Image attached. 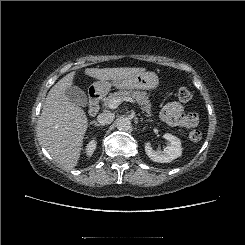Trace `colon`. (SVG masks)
<instances>
[{"mask_svg":"<svg viewBox=\"0 0 245 245\" xmlns=\"http://www.w3.org/2000/svg\"><path fill=\"white\" fill-rule=\"evenodd\" d=\"M192 98V93L191 91L186 88V87H181L179 90H178V99L183 102V103H187L191 100ZM202 138V133L197 130V129H194L192 131H190L189 133V139L193 142H198L200 141Z\"/></svg>","mask_w":245,"mask_h":245,"instance_id":"colon-1","label":"colon"}]
</instances>
